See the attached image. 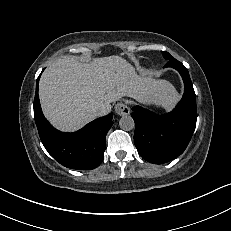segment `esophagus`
Segmentation results:
<instances>
[{"mask_svg": "<svg viewBox=\"0 0 231 231\" xmlns=\"http://www.w3.org/2000/svg\"><path fill=\"white\" fill-rule=\"evenodd\" d=\"M115 112L120 116L128 115L130 108L125 102H119L115 105Z\"/></svg>", "mask_w": 231, "mask_h": 231, "instance_id": "esophagus-1", "label": "esophagus"}]
</instances>
